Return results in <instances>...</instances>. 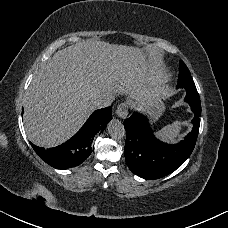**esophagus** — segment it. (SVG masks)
I'll use <instances>...</instances> for the list:
<instances>
[{"mask_svg": "<svg viewBox=\"0 0 228 228\" xmlns=\"http://www.w3.org/2000/svg\"><path fill=\"white\" fill-rule=\"evenodd\" d=\"M117 117L121 119H126L128 116V104L127 103H121L117 106V109L115 111Z\"/></svg>", "mask_w": 228, "mask_h": 228, "instance_id": "esophagus-1", "label": "esophagus"}]
</instances>
